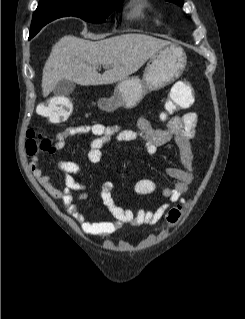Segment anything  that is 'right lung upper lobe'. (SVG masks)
<instances>
[{"instance_id": "cb5924a9", "label": "right lung upper lobe", "mask_w": 245, "mask_h": 319, "mask_svg": "<svg viewBox=\"0 0 245 319\" xmlns=\"http://www.w3.org/2000/svg\"><path fill=\"white\" fill-rule=\"evenodd\" d=\"M55 1L66 0H40L36 11L33 14L34 20L38 25L31 24L30 35L34 36L48 22L59 18L56 13L57 7L53 4Z\"/></svg>"}]
</instances>
